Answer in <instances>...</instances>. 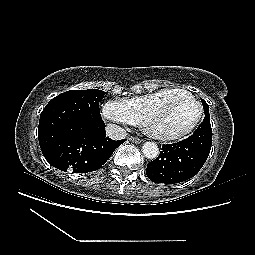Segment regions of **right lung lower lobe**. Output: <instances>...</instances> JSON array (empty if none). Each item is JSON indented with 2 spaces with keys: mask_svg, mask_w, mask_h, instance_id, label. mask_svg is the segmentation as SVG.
Segmentation results:
<instances>
[{
  "mask_svg": "<svg viewBox=\"0 0 255 255\" xmlns=\"http://www.w3.org/2000/svg\"><path fill=\"white\" fill-rule=\"evenodd\" d=\"M126 139L114 141L106 137L105 124L71 129L43 151L50 165L73 173L98 170L114 150Z\"/></svg>",
  "mask_w": 255,
  "mask_h": 255,
  "instance_id": "1",
  "label": "right lung lower lobe"
}]
</instances>
